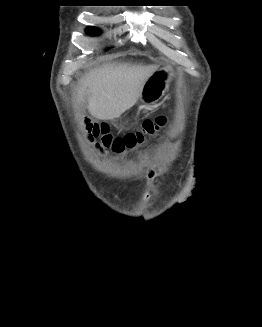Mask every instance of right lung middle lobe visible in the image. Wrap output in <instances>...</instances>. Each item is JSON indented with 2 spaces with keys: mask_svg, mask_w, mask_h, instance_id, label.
Instances as JSON below:
<instances>
[{
  "mask_svg": "<svg viewBox=\"0 0 262 327\" xmlns=\"http://www.w3.org/2000/svg\"><path fill=\"white\" fill-rule=\"evenodd\" d=\"M88 34L90 35H97L99 31L95 28H87Z\"/></svg>",
  "mask_w": 262,
  "mask_h": 327,
  "instance_id": "obj_1",
  "label": "right lung middle lobe"
}]
</instances>
